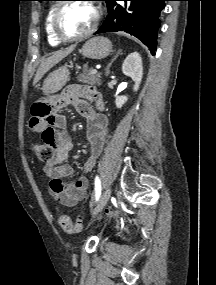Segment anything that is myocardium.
Returning a JSON list of instances; mask_svg holds the SVG:
<instances>
[{
    "instance_id": "obj_1",
    "label": "myocardium",
    "mask_w": 216,
    "mask_h": 285,
    "mask_svg": "<svg viewBox=\"0 0 216 285\" xmlns=\"http://www.w3.org/2000/svg\"><path fill=\"white\" fill-rule=\"evenodd\" d=\"M71 3L72 2H62V3H60L56 7V9L54 11V14H53V17H52L51 25H52L53 34L61 42L81 41V40L91 36L95 32V30L97 29V27H98V25L100 23L101 8L97 4H95L93 2H88V3H90V4H92L94 6L95 11H96L95 20H94L93 24L91 25V27L87 31H85L84 33L76 35V36H67V35H65L61 31L59 23H60V18H61V15H62L64 9Z\"/></svg>"
}]
</instances>
